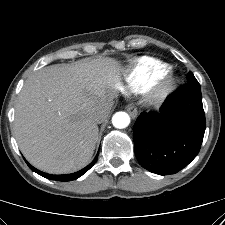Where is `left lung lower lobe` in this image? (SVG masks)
<instances>
[{
  "label": "left lung lower lobe",
  "instance_id": "1",
  "mask_svg": "<svg viewBox=\"0 0 225 225\" xmlns=\"http://www.w3.org/2000/svg\"><path fill=\"white\" fill-rule=\"evenodd\" d=\"M200 85L187 83L167 98L160 113L142 112L134 128L140 165L159 175L175 174L198 154L205 132Z\"/></svg>",
  "mask_w": 225,
  "mask_h": 225
}]
</instances>
